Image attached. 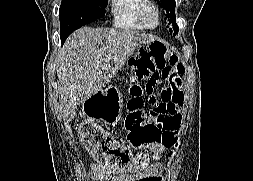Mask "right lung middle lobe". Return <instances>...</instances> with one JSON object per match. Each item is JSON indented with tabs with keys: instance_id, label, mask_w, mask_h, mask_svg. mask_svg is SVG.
<instances>
[{
	"instance_id": "obj_1",
	"label": "right lung middle lobe",
	"mask_w": 253,
	"mask_h": 181,
	"mask_svg": "<svg viewBox=\"0 0 253 181\" xmlns=\"http://www.w3.org/2000/svg\"><path fill=\"white\" fill-rule=\"evenodd\" d=\"M107 0H62L59 10L61 35L71 34L82 25L105 15Z\"/></svg>"
}]
</instances>
